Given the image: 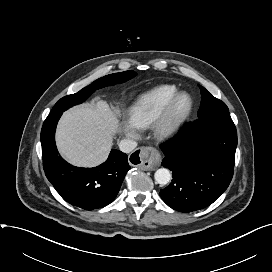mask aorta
Segmentation results:
<instances>
[{
	"label": "aorta",
	"mask_w": 272,
	"mask_h": 272,
	"mask_svg": "<svg viewBox=\"0 0 272 272\" xmlns=\"http://www.w3.org/2000/svg\"><path fill=\"white\" fill-rule=\"evenodd\" d=\"M154 178L158 184L166 185L171 180V173L166 168H160L155 172Z\"/></svg>",
	"instance_id": "762f6f07"
}]
</instances>
